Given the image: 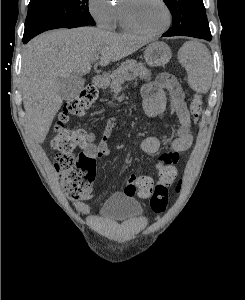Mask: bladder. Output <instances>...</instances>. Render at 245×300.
Returning a JSON list of instances; mask_svg holds the SVG:
<instances>
[{"instance_id":"31cf9c89","label":"bladder","mask_w":245,"mask_h":300,"mask_svg":"<svg viewBox=\"0 0 245 300\" xmlns=\"http://www.w3.org/2000/svg\"><path fill=\"white\" fill-rule=\"evenodd\" d=\"M99 216L114 221L137 219L143 216V208L133 197L119 194L109 198L103 204Z\"/></svg>"}]
</instances>
